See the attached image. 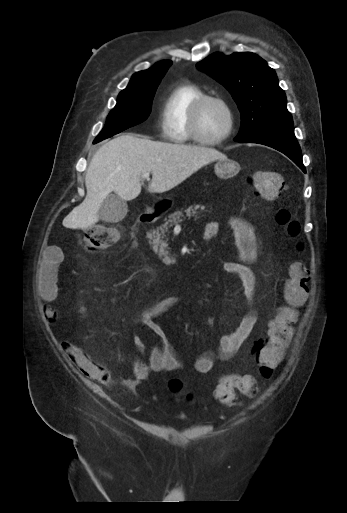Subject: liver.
Instances as JSON below:
<instances>
[{
	"mask_svg": "<svg viewBox=\"0 0 347 513\" xmlns=\"http://www.w3.org/2000/svg\"><path fill=\"white\" fill-rule=\"evenodd\" d=\"M227 156L215 148L152 141L134 134L118 136L93 156L85 177L87 195L63 220L70 229H85L98 222V211L111 192L124 201L141 192L144 173H151L148 190L166 192L203 166Z\"/></svg>",
	"mask_w": 347,
	"mask_h": 513,
	"instance_id": "obj_1",
	"label": "liver"
}]
</instances>
